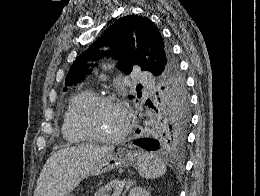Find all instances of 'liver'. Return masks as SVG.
<instances>
[{
	"label": "liver",
	"instance_id": "liver-1",
	"mask_svg": "<svg viewBox=\"0 0 260 196\" xmlns=\"http://www.w3.org/2000/svg\"><path fill=\"white\" fill-rule=\"evenodd\" d=\"M113 146H73L48 158L36 184L34 196H68L82 180L89 178L100 158Z\"/></svg>",
	"mask_w": 260,
	"mask_h": 196
}]
</instances>
